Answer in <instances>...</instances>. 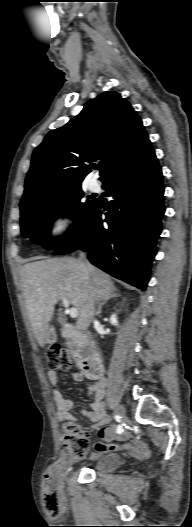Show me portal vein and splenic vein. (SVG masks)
<instances>
[{
    "label": "portal vein and splenic vein",
    "mask_w": 192,
    "mask_h": 527,
    "mask_svg": "<svg viewBox=\"0 0 192 527\" xmlns=\"http://www.w3.org/2000/svg\"><path fill=\"white\" fill-rule=\"evenodd\" d=\"M62 303H63L64 307L66 308V312L70 315V317H72V318L78 317L77 309L74 308V307L70 308L69 307V301L66 298H62Z\"/></svg>",
    "instance_id": "1"
}]
</instances>
